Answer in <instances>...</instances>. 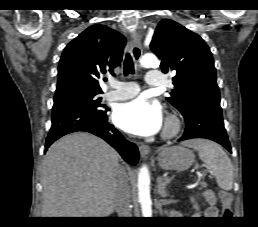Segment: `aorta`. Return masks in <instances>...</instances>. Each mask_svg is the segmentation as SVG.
<instances>
[{
    "label": "aorta",
    "instance_id": "762f6f07",
    "mask_svg": "<svg viewBox=\"0 0 258 227\" xmlns=\"http://www.w3.org/2000/svg\"><path fill=\"white\" fill-rule=\"evenodd\" d=\"M157 57L154 54H145L140 63L143 67L149 68L157 64ZM138 200L141 205L143 217H152V201L150 196V174L148 167L143 165L138 174Z\"/></svg>",
    "mask_w": 258,
    "mask_h": 227
}]
</instances>
